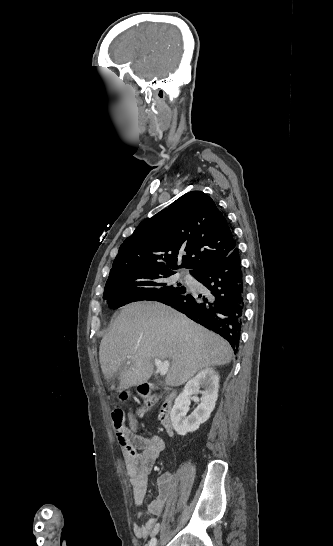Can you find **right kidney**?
I'll list each match as a JSON object with an SVG mask.
<instances>
[{"label":"right kidney","instance_id":"obj_1","mask_svg":"<svg viewBox=\"0 0 333 546\" xmlns=\"http://www.w3.org/2000/svg\"><path fill=\"white\" fill-rule=\"evenodd\" d=\"M200 387L204 388L201 397V404L187 417L191 395L199 392ZM219 374L213 368H206L200 371L194 378L189 380L184 390L177 396L170 417L174 430L179 435H186L196 431L199 426L206 422L215 408L218 397Z\"/></svg>","mask_w":333,"mask_h":546}]
</instances>
